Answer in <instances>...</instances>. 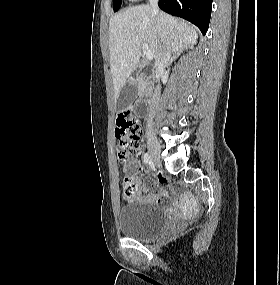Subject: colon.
<instances>
[{
    "mask_svg": "<svg viewBox=\"0 0 280 285\" xmlns=\"http://www.w3.org/2000/svg\"><path fill=\"white\" fill-rule=\"evenodd\" d=\"M116 139L119 157L125 160L129 154L137 152L140 144L142 128L139 120L134 117L129 109L122 110L116 116ZM158 180L161 183L168 181L167 176L159 173ZM126 193L133 189L130 179H126Z\"/></svg>",
    "mask_w": 280,
    "mask_h": 285,
    "instance_id": "obj_1",
    "label": "colon"
}]
</instances>
